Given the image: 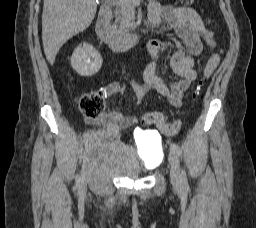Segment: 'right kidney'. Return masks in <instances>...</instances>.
Segmentation results:
<instances>
[{
	"mask_svg": "<svg viewBox=\"0 0 256 228\" xmlns=\"http://www.w3.org/2000/svg\"><path fill=\"white\" fill-rule=\"evenodd\" d=\"M71 65L73 69L84 77L95 75L102 66V57L95 48L87 43L75 48L71 56Z\"/></svg>",
	"mask_w": 256,
	"mask_h": 228,
	"instance_id": "right-kidney-1",
	"label": "right kidney"
}]
</instances>
